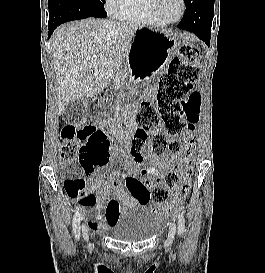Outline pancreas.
Wrapping results in <instances>:
<instances>
[{"mask_svg": "<svg viewBox=\"0 0 265 273\" xmlns=\"http://www.w3.org/2000/svg\"><path fill=\"white\" fill-rule=\"evenodd\" d=\"M129 75L128 67L122 69L121 71H117L114 79V87L119 88L123 83L124 79H126Z\"/></svg>", "mask_w": 265, "mask_h": 273, "instance_id": "1", "label": "pancreas"}]
</instances>
